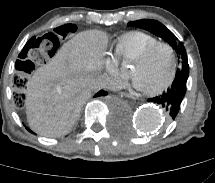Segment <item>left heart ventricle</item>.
Returning a JSON list of instances; mask_svg holds the SVG:
<instances>
[{"mask_svg":"<svg viewBox=\"0 0 215 183\" xmlns=\"http://www.w3.org/2000/svg\"><path fill=\"white\" fill-rule=\"evenodd\" d=\"M172 58L165 48L157 49L147 60L132 62L131 75L138 79L145 90L164 84L172 72Z\"/></svg>","mask_w":215,"mask_h":183,"instance_id":"obj_1","label":"left heart ventricle"}]
</instances>
